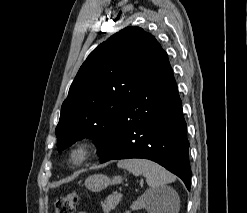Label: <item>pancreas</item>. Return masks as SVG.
I'll return each mask as SVG.
<instances>
[{
    "label": "pancreas",
    "instance_id": "pancreas-1",
    "mask_svg": "<svg viewBox=\"0 0 247 213\" xmlns=\"http://www.w3.org/2000/svg\"><path fill=\"white\" fill-rule=\"evenodd\" d=\"M122 196H118L117 194L109 195L104 202H101V206L104 210V213H110L111 210L115 209V207L121 201Z\"/></svg>",
    "mask_w": 247,
    "mask_h": 213
}]
</instances>
